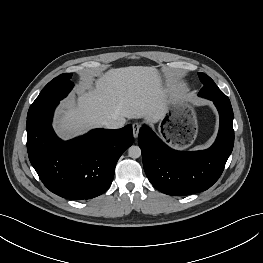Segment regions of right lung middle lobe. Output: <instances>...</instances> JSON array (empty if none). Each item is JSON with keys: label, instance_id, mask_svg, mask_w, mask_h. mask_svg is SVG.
Returning <instances> with one entry per match:
<instances>
[{"label": "right lung middle lobe", "instance_id": "1", "mask_svg": "<svg viewBox=\"0 0 263 263\" xmlns=\"http://www.w3.org/2000/svg\"><path fill=\"white\" fill-rule=\"evenodd\" d=\"M71 73L61 74L50 81L29 108L27 117L40 112L67 96L73 87Z\"/></svg>", "mask_w": 263, "mask_h": 263}]
</instances>
